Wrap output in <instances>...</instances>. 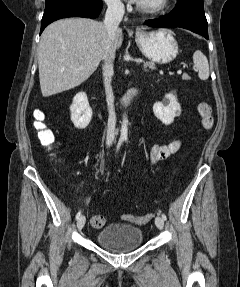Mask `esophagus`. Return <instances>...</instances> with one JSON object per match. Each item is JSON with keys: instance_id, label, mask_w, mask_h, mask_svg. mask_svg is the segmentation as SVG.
<instances>
[{"instance_id": "1", "label": "esophagus", "mask_w": 240, "mask_h": 287, "mask_svg": "<svg viewBox=\"0 0 240 287\" xmlns=\"http://www.w3.org/2000/svg\"><path fill=\"white\" fill-rule=\"evenodd\" d=\"M140 31V29L139 28H137V32H139Z\"/></svg>"}]
</instances>
